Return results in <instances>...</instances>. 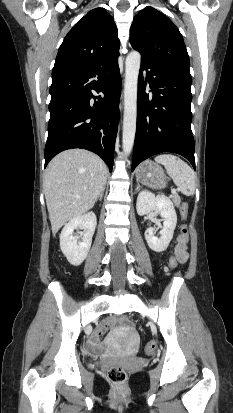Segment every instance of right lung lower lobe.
<instances>
[{
	"instance_id": "obj_1",
	"label": "right lung lower lobe",
	"mask_w": 233,
	"mask_h": 413,
	"mask_svg": "<svg viewBox=\"0 0 233 413\" xmlns=\"http://www.w3.org/2000/svg\"><path fill=\"white\" fill-rule=\"evenodd\" d=\"M118 56L52 76L45 167L59 152L83 148L112 171L121 88ZM92 91L103 94L96 97Z\"/></svg>"
}]
</instances>
